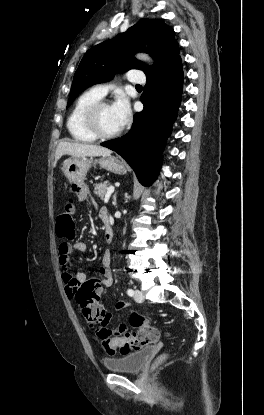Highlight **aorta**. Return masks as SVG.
Here are the masks:
<instances>
[{
  "instance_id": "762f6f07",
  "label": "aorta",
  "mask_w": 264,
  "mask_h": 415,
  "mask_svg": "<svg viewBox=\"0 0 264 415\" xmlns=\"http://www.w3.org/2000/svg\"><path fill=\"white\" fill-rule=\"evenodd\" d=\"M137 57L141 60H144V61H150L149 56L146 55V54H139Z\"/></svg>"
}]
</instances>
